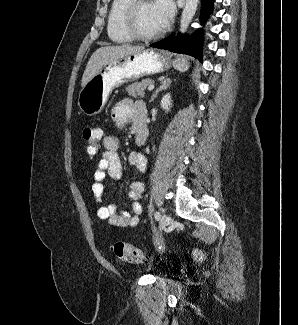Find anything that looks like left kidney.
<instances>
[{
  "label": "left kidney",
  "instance_id": "obj_1",
  "mask_svg": "<svg viewBox=\"0 0 298 325\" xmlns=\"http://www.w3.org/2000/svg\"><path fill=\"white\" fill-rule=\"evenodd\" d=\"M160 106H161L162 110H165V112H170V110L173 106L171 92H166V94H163V96L160 100Z\"/></svg>",
  "mask_w": 298,
  "mask_h": 325
}]
</instances>
